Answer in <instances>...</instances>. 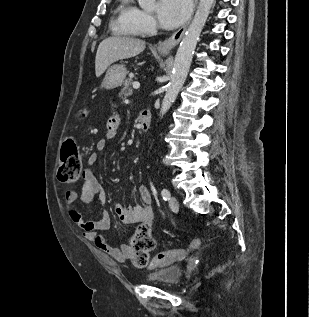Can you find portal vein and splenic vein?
<instances>
[{
	"mask_svg": "<svg viewBox=\"0 0 309 317\" xmlns=\"http://www.w3.org/2000/svg\"><path fill=\"white\" fill-rule=\"evenodd\" d=\"M133 88L134 89H139L140 88V83L139 82H134L133 83Z\"/></svg>",
	"mask_w": 309,
	"mask_h": 317,
	"instance_id": "obj_1",
	"label": "portal vein and splenic vein"
}]
</instances>
